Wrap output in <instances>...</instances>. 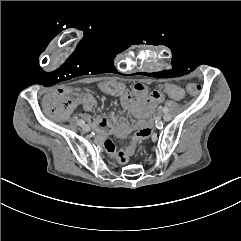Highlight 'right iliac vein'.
<instances>
[{
  "mask_svg": "<svg viewBox=\"0 0 241 241\" xmlns=\"http://www.w3.org/2000/svg\"><path fill=\"white\" fill-rule=\"evenodd\" d=\"M82 129L84 132H89L90 131V126L88 124H85L82 126Z\"/></svg>",
  "mask_w": 241,
  "mask_h": 241,
  "instance_id": "right-iliac-vein-1",
  "label": "right iliac vein"
}]
</instances>
